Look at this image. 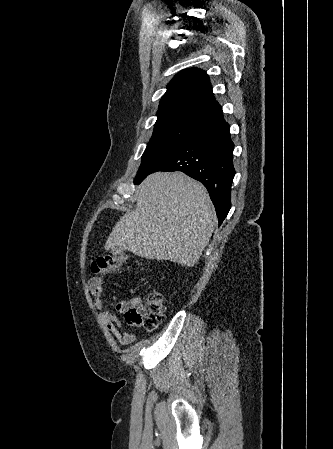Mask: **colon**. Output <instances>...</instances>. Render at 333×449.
Segmentation results:
<instances>
[{
    "mask_svg": "<svg viewBox=\"0 0 333 449\" xmlns=\"http://www.w3.org/2000/svg\"><path fill=\"white\" fill-rule=\"evenodd\" d=\"M125 254H107L92 258L91 271L106 274L119 271L127 262ZM164 297L161 292L153 291L145 299L137 300L129 305L125 311L126 322L135 327L155 330L164 315Z\"/></svg>",
    "mask_w": 333,
    "mask_h": 449,
    "instance_id": "1",
    "label": "colon"
}]
</instances>
